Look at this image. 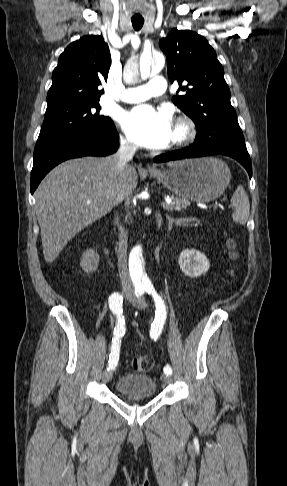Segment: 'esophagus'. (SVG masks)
Returning <instances> with one entry per match:
<instances>
[{
	"label": "esophagus",
	"instance_id": "1",
	"mask_svg": "<svg viewBox=\"0 0 287 486\" xmlns=\"http://www.w3.org/2000/svg\"><path fill=\"white\" fill-rule=\"evenodd\" d=\"M146 168H147V170H149V171H153V170H155V168H154V167H152V166H151V165H149V164L146 166Z\"/></svg>",
	"mask_w": 287,
	"mask_h": 486
}]
</instances>
